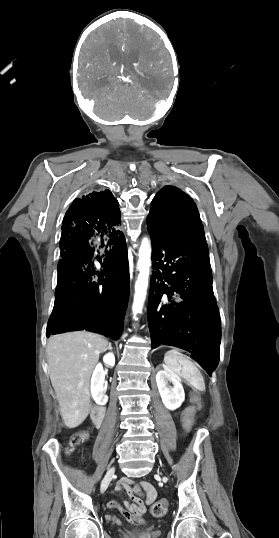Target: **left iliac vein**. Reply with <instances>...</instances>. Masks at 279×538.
I'll return each mask as SVG.
<instances>
[{"label":"left iliac vein","instance_id":"obj_1","mask_svg":"<svg viewBox=\"0 0 279 538\" xmlns=\"http://www.w3.org/2000/svg\"><path fill=\"white\" fill-rule=\"evenodd\" d=\"M163 479H164V481H166V478H165V477H164Z\"/></svg>","mask_w":279,"mask_h":538}]
</instances>
